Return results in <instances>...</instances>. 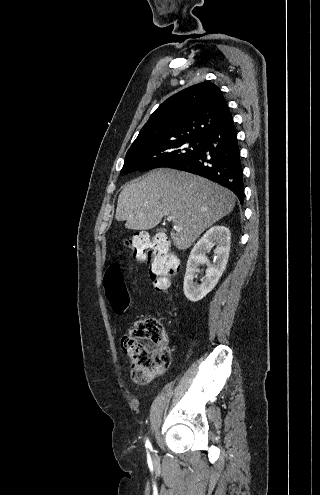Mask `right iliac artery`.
<instances>
[{
	"label": "right iliac artery",
	"mask_w": 320,
	"mask_h": 495,
	"mask_svg": "<svg viewBox=\"0 0 320 495\" xmlns=\"http://www.w3.org/2000/svg\"><path fill=\"white\" fill-rule=\"evenodd\" d=\"M145 446L147 449H152L151 443L148 439L146 440Z\"/></svg>",
	"instance_id": "82829eb1"
}]
</instances>
